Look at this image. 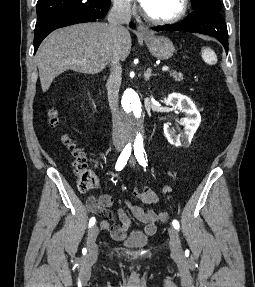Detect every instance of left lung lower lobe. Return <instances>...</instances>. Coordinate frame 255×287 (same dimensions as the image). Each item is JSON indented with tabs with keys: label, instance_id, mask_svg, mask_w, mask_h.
<instances>
[{
	"label": "left lung lower lobe",
	"instance_id": "obj_1",
	"mask_svg": "<svg viewBox=\"0 0 255 287\" xmlns=\"http://www.w3.org/2000/svg\"><path fill=\"white\" fill-rule=\"evenodd\" d=\"M155 31H186L215 37L228 52V32L223 16L208 8L194 10L186 19L173 25L157 26Z\"/></svg>",
	"mask_w": 255,
	"mask_h": 287
}]
</instances>
